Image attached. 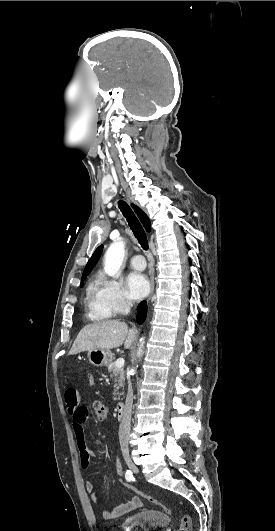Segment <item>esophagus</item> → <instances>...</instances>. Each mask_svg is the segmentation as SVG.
I'll list each match as a JSON object with an SVG mask.
<instances>
[{
  "label": "esophagus",
  "instance_id": "1",
  "mask_svg": "<svg viewBox=\"0 0 275 531\" xmlns=\"http://www.w3.org/2000/svg\"><path fill=\"white\" fill-rule=\"evenodd\" d=\"M153 292H154V279H151V281H150V295H149L148 301H149L151 295L153 294Z\"/></svg>",
  "mask_w": 275,
  "mask_h": 531
}]
</instances>
